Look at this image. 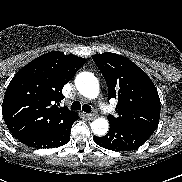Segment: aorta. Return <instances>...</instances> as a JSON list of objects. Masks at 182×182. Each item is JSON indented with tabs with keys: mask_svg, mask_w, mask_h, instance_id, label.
I'll use <instances>...</instances> for the list:
<instances>
[{
	"mask_svg": "<svg viewBox=\"0 0 182 182\" xmlns=\"http://www.w3.org/2000/svg\"><path fill=\"white\" fill-rule=\"evenodd\" d=\"M75 85L79 93L86 98L94 99L99 94V83L92 73H79L75 79ZM108 128L109 123L105 118H97L91 123L92 132L97 136L105 135Z\"/></svg>",
	"mask_w": 182,
	"mask_h": 182,
	"instance_id": "1",
	"label": "aorta"
}]
</instances>
